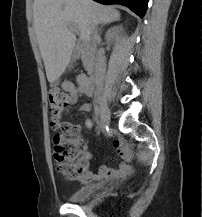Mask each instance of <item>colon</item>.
<instances>
[{
  "label": "colon",
  "mask_w": 202,
  "mask_h": 217,
  "mask_svg": "<svg viewBox=\"0 0 202 217\" xmlns=\"http://www.w3.org/2000/svg\"><path fill=\"white\" fill-rule=\"evenodd\" d=\"M72 102L71 96L58 89L48 95V109L51 124L58 132L53 137L54 159L59 173L67 180H75L83 175L85 141L70 125L62 121L65 110Z\"/></svg>",
  "instance_id": "5ec220e1"
}]
</instances>
